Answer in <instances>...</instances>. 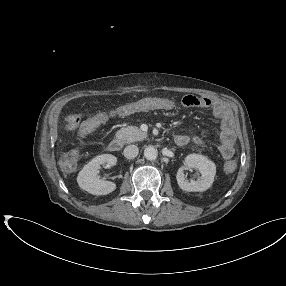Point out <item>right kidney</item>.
I'll return each mask as SVG.
<instances>
[{
	"label": "right kidney",
	"instance_id": "1",
	"mask_svg": "<svg viewBox=\"0 0 286 286\" xmlns=\"http://www.w3.org/2000/svg\"><path fill=\"white\" fill-rule=\"evenodd\" d=\"M116 162L117 158L111 154L94 157L79 172L77 177L79 187L93 195H106L113 192L116 189V184L100 179L98 173L102 164L113 166Z\"/></svg>",
	"mask_w": 286,
	"mask_h": 286
}]
</instances>
